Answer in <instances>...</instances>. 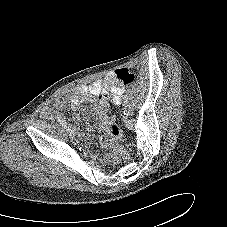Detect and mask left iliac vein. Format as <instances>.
Segmentation results:
<instances>
[{"label":"left iliac vein","instance_id":"obj_1","mask_svg":"<svg viewBox=\"0 0 227 227\" xmlns=\"http://www.w3.org/2000/svg\"><path fill=\"white\" fill-rule=\"evenodd\" d=\"M125 111H126V114L128 116H132L133 115V108L131 107V105L126 104L125 105Z\"/></svg>","mask_w":227,"mask_h":227}]
</instances>
